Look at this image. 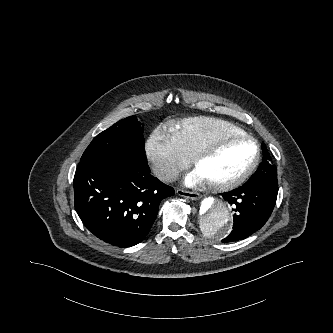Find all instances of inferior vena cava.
Listing matches in <instances>:
<instances>
[{"label": "inferior vena cava", "instance_id": "602c4592", "mask_svg": "<svg viewBox=\"0 0 333 333\" xmlns=\"http://www.w3.org/2000/svg\"><path fill=\"white\" fill-rule=\"evenodd\" d=\"M155 175L163 181L173 182L174 180H176L178 172L167 167H162L155 171Z\"/></svg>", "mask_w": 333, "mask_h": 333}]
</instances>
